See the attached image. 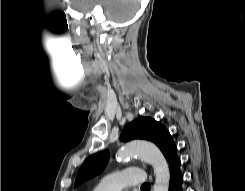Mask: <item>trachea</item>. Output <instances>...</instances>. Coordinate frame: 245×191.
I'll list each match as a JSON object with an SVG mask.
<instances>
[{
  "label": "trachea",
  "mask_w": 245,
  "mask_h": 191,
  "mask_svg": "<svg viewBox=\"0 0 245 191\" xmlns=\"http://www.w3.org/2000/svg\"><path fill=\"white\" fill-rule=\"evenodd\" d=\"M147 189H150L149 183H145L144 185L141 186V190H147Z\"/></svg>",
  "instance_id": "obj_1"
}]
</instances>
